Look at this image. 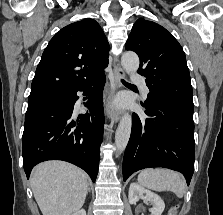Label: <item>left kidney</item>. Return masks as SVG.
Segmentation results:
<instances>
[{
	"mask_svg": "<svg viewBox=\"0 0 223 215\" xmlns=\"http://www.w3.org/2000/svg\"><path fill=\"white\" fill-rule=\"evenodd\" d=\"M129 203H136L138 199H145V201H151L153 207H150L151 215H161L165 203L163 199H161L160 195L154 193V191H150V189H145L142 185H138V183H131L129 187Z\"/></svg>",
	"mask_w": 223,
	"mask_h": 215,
	"instance_id": "5707ae66",
	"label": "left kidney"
}]
</instances>
